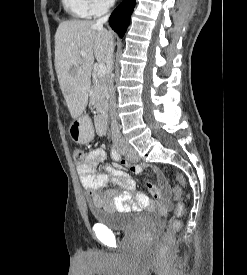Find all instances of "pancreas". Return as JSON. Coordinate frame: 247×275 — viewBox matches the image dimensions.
Wrapping results in <instances>:
<instances>
[{
  "label": "pancreas",
  "mask_w": 247,
  "mask_h": 275,
  "mask_svg": "<svg viewBox=\"0 0 247 275\" xmlns=\"http://www.w3.org/2000/svg\"><path fill=\"white\" fill-rule=\"evenodd\" d=\"M90 103L94 105L98 113H105L108 108V92L105 79L101 78L95 81L92 87Z\"/></svg>",
  "instance_id": "obj_1"
}]
</instances>
